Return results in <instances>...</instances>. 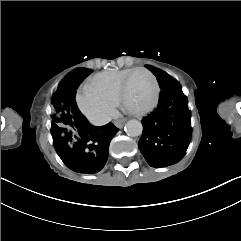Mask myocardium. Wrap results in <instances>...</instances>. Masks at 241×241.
Instances as JSON below:
<instances>
[{"instance_id":"myocardium-1","label":"myocardium","mask_w":241,"mask_h":241,"mask_svg":"<svg viewBox=\"0 0 241 241\" xmlns=\"http://www.w3.org/2000/svg\"><path fill=\"white\" fill-rule=\"evenodd\" d=\"M141 72H144L147 75L148 82L152 83V88H153L154 97H155V102H152V104H150V107H147V110H144L143 113H141V118H146V116L149 115V112H153V109H156L157 103H160V96H159L157 81H155V78L151 74L150 70H148V67L132 68V70H129L126 73V76H124V79H121V81H119V103H125V97H124L125 90L123 87L124 83L126 81H129V78H131L133 75Z\"/></svg>"}]
</instances>
